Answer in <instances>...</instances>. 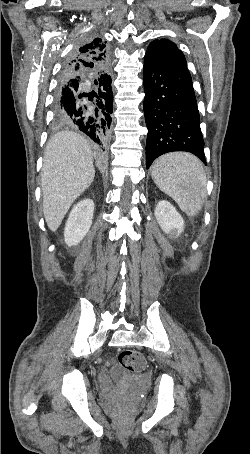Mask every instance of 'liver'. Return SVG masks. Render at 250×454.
Returning <instances> with one entry per match:
<instances>
[{
  "instance_id": "6515ba94",
  "label": "liver",
  "mask_w": 250,
  "mask_h": 454,
  "mask_svg": "<svg viewBox=\"0 0 250 454\" xmlns=\"http://www.w3.org/2000/svg\"><path fill=\"white\" fill-rule=\"evenodd\" d=\"M95 169L88 141L72 131H61L49 140L41 171L43 213L55 232L73 202L92 184Z\"/></svg>"
}]
</instances>
